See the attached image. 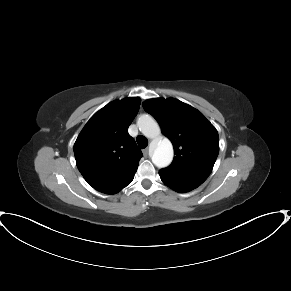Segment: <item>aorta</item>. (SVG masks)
I'll return each instance as SVG.
<instances>
[{
    "label": "aorta",
    "mask_w": 291,
    "mask_h": 291,
    "mask_svg": "<svg viewBox=\"0 0 291 291\" xmlns=\"http://www.w3.org/2000/svg\"><path fill=\"white\" fill-rule=\"evenodd\" d=\"M137 126L140 132L147 138L152 139L156 148L152 155V162L158 168L167 167L173 159V146L169 139L161 138V129L155 119L144 114L138 118Z\"/></svg>",
    "instance_id": "aorta-1"
}]
</instances>
